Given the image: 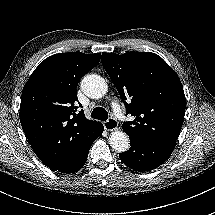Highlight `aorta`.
<instances>
[{"mask_svg":"<svg viewBox=\"0 0 215 215\" xmlns=\"http://www.w3.org/2000/svg\"><path fill=\"white\" fill-rule=\"evenodd\" d=\"M82 86L86 94L91 98H102L108 92V85L101 76L88 75L82 80ZM110 146L118 152H125L129 149L130 138L123 130H114L109 136Z\"/></svg>","mask_w":215,"mask_h":215,"instance_id":"1","label":"aorta"}]
</instances>
